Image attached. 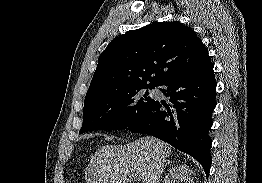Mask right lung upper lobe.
I'll use <instances>...</instances> for the list:
<instances>
[{
    "instance_id": "1",
    "label": "right lung upper lobe",
    "mask_w": 262,
    "mask_h": 183,
    "mask_svg": "<svg viewBox=\"0 0 262 183\" xmlns=\"http://www.w3.org/2000/svg\"><path fill=\"white\" fill-rule=\"evenodd\" d=\"M209 61L194 30L178 21L131 30L113 39L98 58L85 102L132 88H154Z\"/></svg>"
}]
</instances>
